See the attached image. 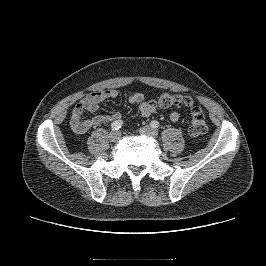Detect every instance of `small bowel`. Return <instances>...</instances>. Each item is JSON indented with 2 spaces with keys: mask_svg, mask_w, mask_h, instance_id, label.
Here are the masks:
<instances>
[{
  "mask_svg": "<svg viewBox=\"0 0 266 266\" xmlns=\"http://www.w3.org/2000/svg\"><path fill=\"white\" fill-rule=\"evenodd\" d=\"M118 95L114 89L98 90L86 95L74 106L71 114L70 125L72 130L76 134H84L93 127L100 126L103 123L116 121L122 118V112H116L112 115H95L91 118H84V112H96L100 104L104 101L114 99ZM128 102L138 107L140 114L144 117H148L158 111V107L153 104V100H146L141 93H135L128 98ZM170 120L177 122L179 120V114L173 111L170 114Z\"/></svg>",
  "mask_w": 266,
  "mask_h": 266,
  "instance_id": "small-bowel-1",
  "label": "small bowel"
}]
</instances>
